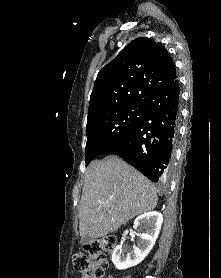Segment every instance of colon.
Masks as SVG:
<instances>
[{"label": "colon", "mask_w": 221, "mask_h": 278, "mask_svg": "<svg viewBox=\"0 0 221 278\" xmlns=\"http://www.w3.org/2000/svg\"><path fill=\"white\" fill-rule=\"evenodd\" d=\"M116 244L112 236L104 237L89 243L86 253H78L73 256L75 270L82 274L83 278H103L108 266L107 253Z\"/></svg>", "instance_id": "5ec220e1"}]
</instances>
